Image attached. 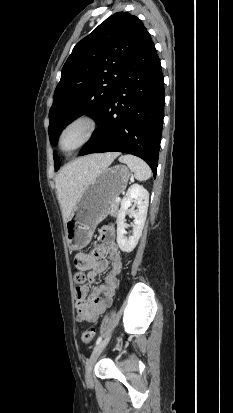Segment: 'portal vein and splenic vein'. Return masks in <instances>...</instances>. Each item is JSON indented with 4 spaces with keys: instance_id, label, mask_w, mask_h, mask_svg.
Returning <instances> with one entry per match:
<instances>
[{
    "instance_id": "obj_1",
    "label": "portal vein and splenic vein",
    "mask_w": 233,
    "mask_h": 413,
    "mask_svg": "<svg viewBox=\"0 0 233 413\" xmlns=\"http://www.w3.org/2000/svg\"><path fill=\"white\" fill-rule=\"evenodd\" d=\"M115 201H116V202H120V201H121L120 197H116V198H115Z\"/></svg>"
}]
</instances>
